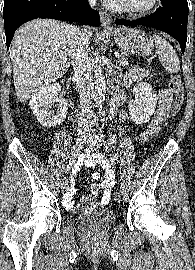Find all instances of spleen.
I'll return each mask as SVG.
<instances>
[{
    "instance_id": "1",
    "label": "spleen",
    "mask_w": 195,
    "mask_h": 270,
    "mask_svg": "<svg viewBox=\"0 0 195 270\" xmlns=\"http://www.w3.org/2000/svg\"><path fill=\"white\" fill-rule=\"evenodd\" d=\"M153 38L157 48V54L159 55V60L164 69L169 73H178L180 70V63L171 44L159 35H153Z\"/></svg>"
}]
</instances>
